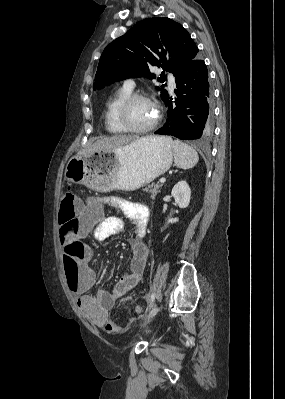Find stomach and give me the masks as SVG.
I'll return each mask as SVG.
<instances>
[{"label": "stomach", "mask_w": 285, "mask_h": 399, "mask_svg": "<svg viewBox=\"0 0 285 399\" xmlns=\"http://www.w3.org/2000/svg\"><path fill=\"white\" fill-rule=\"evenodd\" d=\"M173 156L169 138L145 137L114 152L76 155L68 161L64 176L100 192L135 190L168 171Z\"/></svg>", "instance_id": "0dacf381"}]
</instances>
